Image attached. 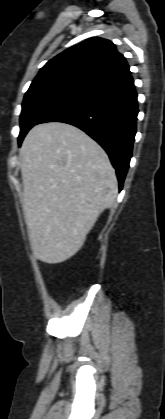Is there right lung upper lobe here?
Segmentation results:
<instances>
[{
	"label": "right lung upper lobe",
	"instance_id": "right-lung-upper-lobe-1",
	"mask_svg": "<svg viewBox=\"0 0 165 419\" xmlns=\"http://www.w3.org/2000/svg\"><path fill=\"white\" fill-rule=\"evenodd\" d=\"M129 74V66L115 45L109 40L93 37L48 61L27 92L60 86L87 94Z\"/></svg>",
	"mask_w": 165,
	"mask_h": 419
}]
</instances>
